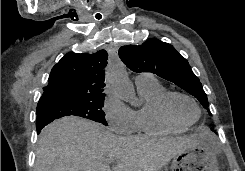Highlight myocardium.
I'll return each instance as SVG.
<instances>
[{"instance_id": "f54148a6", "label": "myocardium", "mask_w": 245, "mask_h": 171, "mask_svg": "<svg viewBox=\"0 0 245 171\" xmlns=\"http://www.w3.org/2000/svg\"><path fill=\"white\" fill-rule=\"evenodd\" d=\"M176 97H182L185 98L187 100H189L190 102H192L194 104V106L196 107L197 111H198V115L197 118L192 121V122H184L181 121L180 119H178L173 111H172V102ZM160 111L161 114L163 115V117L170 123L177 125V126H181V127H191L192 125H194L195 123H197L199 121V119L201 118V108L198 104V102L191 96L182 93V92H178V91H168L161 99L160 101Z\"/></svg>"}]
</instances>
